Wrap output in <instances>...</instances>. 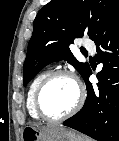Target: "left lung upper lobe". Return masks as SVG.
Masks as SVG:
<instances>
[{
	"label": "left lung upper lobe",
	"instance_id": "1",
	"mask_svg": "<svg viewBox=\"0 0 119 141\" xmlns=\"http://www.w3.org/2000/svg\"><path fill=\"white\" fill-rule=\"evenodd\" d=\"M119 8V0H51L38 12L23 66L26 85L47 64L66 60L84 77L88 63L78 62L69 45L87 34L92 39Z\"/></svg>",
	"mask_w": 119,
	"mask_h": 141
}]
</instances>
